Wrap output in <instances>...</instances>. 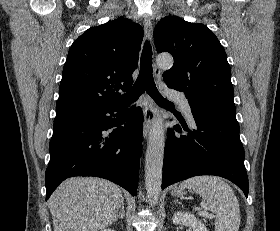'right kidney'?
Listing matches in <instances>:
<instances>
[{"mask_svg": "<svg viewBox=\"0 0 280 231\" xmlns=\"http://www.w3.org/2000/svg\"><path fill=\"white\" fill-rule=\"evenodd\" d=\"M103 231H115V229H103Z\"/></svg>", "mask_w": 280, "mask_h": 231, "instance_id": "1", "label": "right kidney"}]
</instances>
